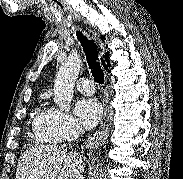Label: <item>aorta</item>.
Wrapping results in <instances>:
<instances>
[{
  "instance_id": "aorta-1",
  "label": "aorta",
  "mask_w": 183,
  "mask_h": 179,
  "mask_svg": "<svg viewBox=\"0 0 183 179\" xmlns=\"http://www.w3.org/2000/svg\"><path fill=\"white\" fill-rule=\"evenodd\" d=\"M81 68V59L69 56L60 66L53 89L55 104L61 110H69L73 98L74 86Z\"/></svg>"
}]
</instances>
